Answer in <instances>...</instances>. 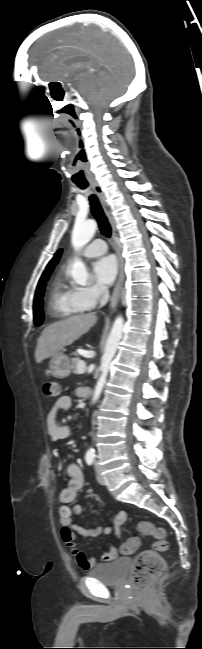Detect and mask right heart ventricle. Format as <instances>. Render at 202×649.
Instances as JSON below:
<instances>
[{
  "instance_id": "e07e8e85",
  "label": "right heart ventricle",
  "mask_w": 202,
  "mask_h": 649,
  "mask_svg": "<svg viewBox=\"0 0 202 649\" xmlns=\"http://www.w3.org/2000/svg\"><path fill=\"white\" fill-rule=\"evenodd\" d=\"M77 290L60 271L55 274L49 289L48 308L55 317H70L84 311L77 299Z\"/></svg>"
}]
</instances>
